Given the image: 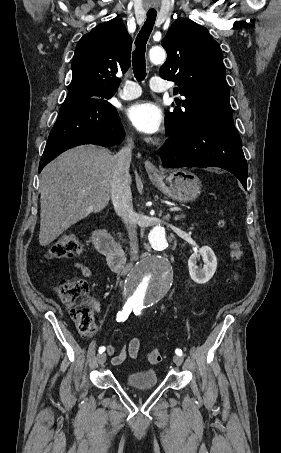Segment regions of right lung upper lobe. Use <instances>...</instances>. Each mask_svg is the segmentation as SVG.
I'll return each mask as SVG.
<instances>
[{
	"mask_svg": "<svg viewBox=\"0 0 281 453\" xmlns=\"http://www.w3.org/2000/svg\"><path fill=\"white\" fill-rule=\"evenodd\" d=\"M132 40L123 22L112 19L95 27L78 42L72 61V81L65 101H106L121 82L117 72L130 67Z\"/></svg>",
	"mask_w": 281,
	"mask_h": 453,
	"instance_id": "obj_1",
	"label": "right lung upper lobe"
}]
</instances>
